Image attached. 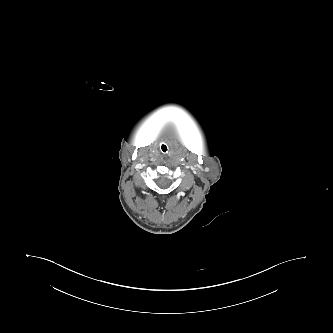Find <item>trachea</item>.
<instances>
[{"label": "trachea", "mask_w": 333, "mask_h": 333, "mask_svg": "<svg viewBox=\"0 0 333 333\" xmlns=\"http://www.w3.org/2000/svg\"><path fill=\"white\" fill-rule=\"evenodd\" d=\"M162 151L166 152L167 151V147L165 145H162Z\"/></svg>", "instance_id": "trachea-1"}]
</instances>
